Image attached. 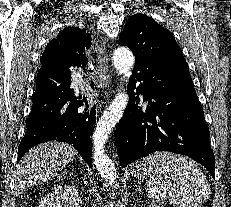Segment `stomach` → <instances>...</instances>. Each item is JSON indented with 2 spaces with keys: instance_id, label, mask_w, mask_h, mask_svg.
<instances>
[{
  "instance_id": "obj_1",
  "label": "stomach",
  "mask_w": 231,
  "mask_h": 207,
  "mask_svg": "<svg viewBox=\"0 0 231 207\" xmlns=\"http://www.w3.org/2000/svg\"><path fill=\"white\" fill-rule=\"evenodd\" d=\"M132 174L134 176H138L140 173H139V168L138 167H135L133 170H132Z\"/></svg>"
}]
</instances>
